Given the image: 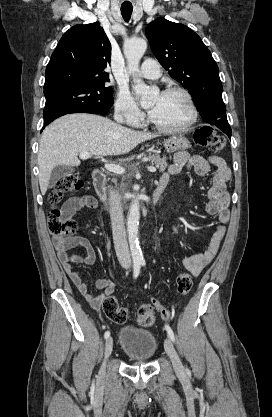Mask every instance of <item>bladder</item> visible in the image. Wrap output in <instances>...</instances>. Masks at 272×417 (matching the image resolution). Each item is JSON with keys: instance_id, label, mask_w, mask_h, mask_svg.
<instances>
[{"instance_id": "31cf9c89", "label": "bladder", "mask_w": 272, "mask_h": 417, "mask_svg": "<svg viewBox=\"0 0 272 417\" xmlns=\"http://www.w3.org/2000/svg\"><path fill=\"white\" fill-rule=\"evenodd\" d=\"M123 353L134 362H149L155 355L158 344L154 335L143 329L124 327L120 334Z\"/></svg>"}]
</instances>
